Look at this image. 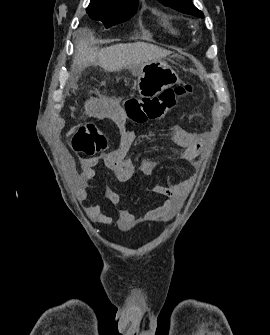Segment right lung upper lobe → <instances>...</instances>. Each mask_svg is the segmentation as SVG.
Instances as JSON below:
<instances>
[{"mask_svg":"<svg viewBox=\"0 0 270 335\" xmlns=\"http://www.w3.org/2000/svg\"><path fill=\"white\" fill-rule=\"evenodd\" d=\"M91 2L103 7H115L138 4L139 0H91Z\"/></svg>","mask_w":270,"mask_h":335,"instance_id":"1","label":"right lung upper lobe"}]
</instances>
